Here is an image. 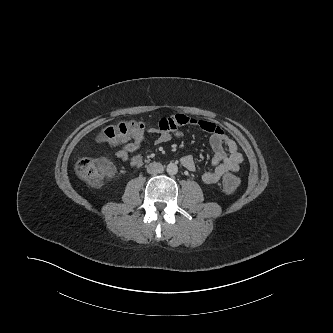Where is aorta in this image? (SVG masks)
Listing matches in <instances>:
<instances>
[{
  "mask_svg": "<svg viewBox=\"0 0 333 333\" xmlns=\"http://www.w3.org/2000/svg\"><path fill=\"white\" fill-rule=\"evenodd\" d=\"M166 171L169 175H175L178 172V166L175 163H169L167 165Z\"/></svg>",
  "mask_w": 333,
  "mask_h": 333,
  "instance_id": "762f6f07",
  "label": "aorta"
}]
</instances>
